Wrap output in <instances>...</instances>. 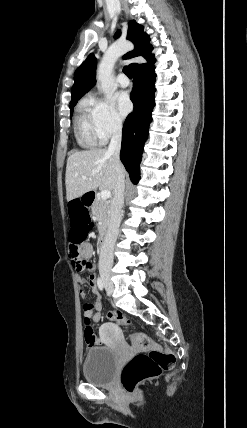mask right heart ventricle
I'll use <instances>...</instances> for the list:
<instances>
[{
	"label": "right heart ventricle",
	"mask_w": 247,
	"mask_h": 428,
	"mask_svg": "<svg viewBox=\"0 0 247 428\" xmlns=\"http://www.w3.org/2000/svg\"><path fill=\"white\" fill-rule=\"evenodd\" d=\"M75 136L79 145L84 148H92L97 145L98 137L91 114V104L88 102L81 104L75 117Z\"/></svg>",
	"instance_id": "1"
}]
</instances>
